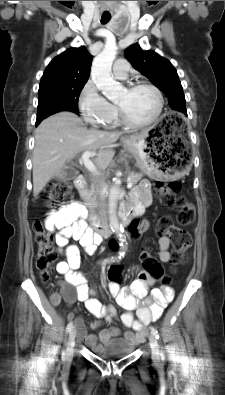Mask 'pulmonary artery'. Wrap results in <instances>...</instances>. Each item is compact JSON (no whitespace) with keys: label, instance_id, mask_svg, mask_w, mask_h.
Instances as JSON below:
<instances>
[{"label":"pulmonary artery","instance_id":"1","mask_svg":"<svg viewBox=\"0 0 225 395\" xmlns=\"http://www.w3.org/2000/svg\"><path fill=\"white\" fill-rule=\"evenodd\" d=\"M129 70V64L126 60H117L113 66V75L117 79H125Z\"/></svg>","mask_w":225,"mask_h":395}]
</instances>
